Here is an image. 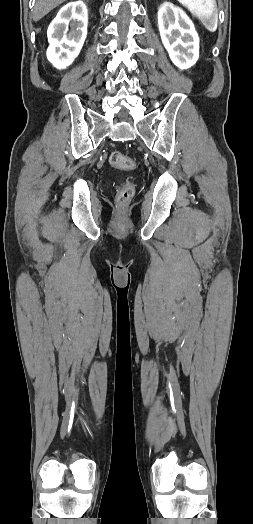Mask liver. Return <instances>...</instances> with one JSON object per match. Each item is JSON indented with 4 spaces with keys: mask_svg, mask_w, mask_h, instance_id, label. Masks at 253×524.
<instances>
[{
    "mask_svg": "<svg viewBox=\"0 0 253 524\" xmlns=\"http://www.w3.org/2000/svg\"><path fill=\"white\" fill-rule=\"evenodd\" d=\"M66 1L67 0H36L33 17L34 21H39L55 7Z\"/></svg>",
    "mask_w": 253,
    "mask_h": 524,
    "instance_id": "liver-1",
    "label": "liver"
}]
</instances>
